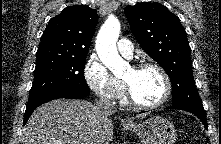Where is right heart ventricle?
I'll use <instances>...</instances> for the list:
<instances>
[{
  "mask_svg": "<svg viewBox=\"0 0 221 144\" xmlns=\"http://www.w3.org/2000/svg\"><path fill=\"white\" fill-rule=\"evenodd\" d=\"M123 102L126 103V100L124 99Z\"/></svg>",
  "mask_w": 221,
  "mask_h": 144,
  "instance_id": "right-heart-ventricle-1",
  "label": "right heart ventricle"
}]
</instances>
